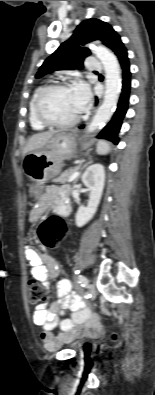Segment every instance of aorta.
Listing matches in <instances>:
<instances>
[{
  "mask_svg": "<svg viewBox=\"0 0 155 395\" xmlns=\"http://www.w3.org/2000/svg\"><path fill=\"white\" fill-rule=\"evenodd\" d=\"M93 52L101 61L105 70V94L103 103L87 127L88 133L100 129L111 119L122 87L120 66L115 55L104 46L94 48Z\"/></svg>",
  "mask_w": 155,
  "mask_h": 395,
  "instance_id": "762f6f07",
  "label": "aorta"
}]
</instances>
